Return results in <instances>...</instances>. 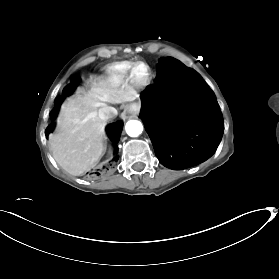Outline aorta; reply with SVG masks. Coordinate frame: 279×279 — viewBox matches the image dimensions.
Here are the masks:
<instances>
[{"label": "aorta", "instance_id": "1", "mask_svg": "<svg viewBox=\"0 0 279 279\" xmlns=\"http://www.w3.org/2000/svg\"><path fill=\"white\" fill-rule=\"evenodd\" d=\"M125 130L130 137H137L142 133L143 125L138 120H130L126 123Z\"/></svg>", "mask_w": 279, "mask_h": 279}]
</instances>
